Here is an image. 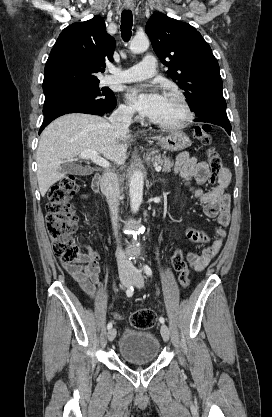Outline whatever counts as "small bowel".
<instances>
[{"label": "small bowel", "instance_id": "c3829d8e", "mask_svg": "<svg viewBox=\"0 0 272 417\" xmlns=\"http://www.w3.org/2000/svg\"><path fill=\"white\" fill-rule=\"evenodd\" d=\"M174 171L181 176L193 196L202 203L204 214L209 218H215L217 221L215 227L216 238L211 243L209 237L203 232L193 228H188L186 231L189 241L208 243L201 253L191 252L186 259V264L192 270L200 272L217 255L227 234L225 228L230 224V196L227 189L231 174L228 169H222L217 185L209 191H204L201 186L210 178L209 166L205 161L189 156L187 153L178 155ZM81 200H87V197L82 196ZM81 245L86 253L81 255L80 262L77 264L63 262V266L80 288L90 298L94 299L98 290L104 286L99 276V255L88 243L82 242Z\"/></svg>", "mask_w": 272, "mask_h": 417}]
</instances>
